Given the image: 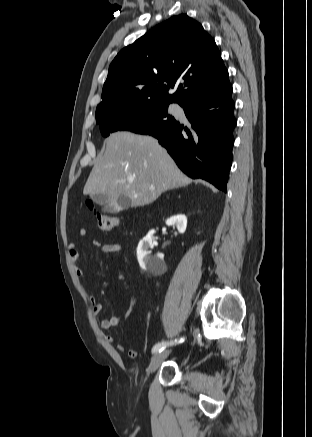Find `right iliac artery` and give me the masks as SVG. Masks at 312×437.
Here are the masks:
<instances>
[{
    "label": "right iliac artery",
    "instance_id": "right-iliac-artery-1",
    "mask_svg": "<svg viewBox=\"0 0 312 437\" xmlns=\"http://www.w3.org/2000/svg\"><path fill=\"white\" fill-rule=\"evenodd\" d=\"M184 341V338H180L179 340L175 339V341H170V342H159L157 344L154 345V347L152 348V353H157L162 351L167 345H171L173 343H182Z\"/></svg>",
    "mask_w": 312,
    "mask_h": 437
}]
</instances>
